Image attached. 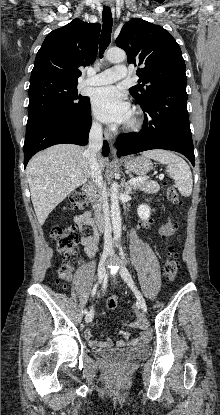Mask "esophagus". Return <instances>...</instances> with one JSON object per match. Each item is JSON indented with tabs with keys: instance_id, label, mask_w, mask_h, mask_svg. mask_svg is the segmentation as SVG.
<instances>
[{
	"instance_id": "esophagus-1",
	"label": "esophagus",
	"mask_w": 220,
	"mask_h": 415,
	"mask_svg": "<svg viewBox=\"0 0 220 415\" xmlns=\"http://www.w3.org/2000/svg\"><path fill=\"white\" fill-rule=\"evenodd\" d=\"M105 137L109 141V143L111 145V148L113 149L112 145H113V140L115 138V133H113L109 130H105Z\"/></svg>"
}]
</instances>
